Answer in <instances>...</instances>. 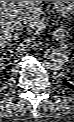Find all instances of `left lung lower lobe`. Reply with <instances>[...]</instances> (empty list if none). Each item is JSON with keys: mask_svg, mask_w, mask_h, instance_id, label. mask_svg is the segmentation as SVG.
I'll list each match as a JSON object with an SVG mask.
<instances>
[{"mask_svg": "<svg viewBox=\"0 0 74 122\" xmlns=\"http://www.w3.org/2000/svg\"><path fill=\"white\" fill-rule=\"evenodd\" d=\"M63 84L70 87V88H73L74 86L72 84H70V82H68L66 79H63Z\"/></svg>", "mask_w": 74, "mask_h": 122, "instance_id": "obj_1", "label": "left lung lower lobe"}]
</instances>
